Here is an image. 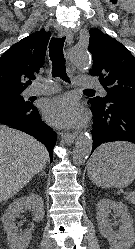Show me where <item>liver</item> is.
I'll return each instance as SVG.
<instances>
[{
  "mask_svg": "<svg viewBox=\"0 0 135 249\" xmlns=\"http://www.w3.org/2000/svg\"><path fill=\"white\" fill-rule=\"evenodd\" d=\"M49 159L46 147L33 137L0 125V202L17 194Z\"/></svg>",
  "mask_w": 135,
  "mask_h": 249,
  "instance_id": "obj_1",
  "label": "liver"
}]
</instances>
